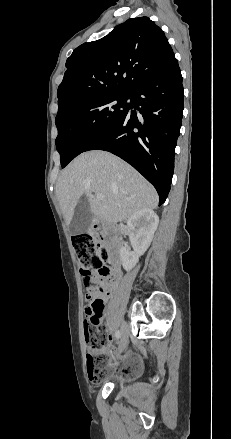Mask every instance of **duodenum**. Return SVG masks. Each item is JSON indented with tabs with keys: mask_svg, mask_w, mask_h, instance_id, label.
I'll return each instance as SVG.
<instances>
[{
	"mask_svg": "<svg viewBox=\"0 0 231 439\" xmlns=\"http://www.w3.org/2000/svg\"><path fill=\"white\" fill-rule=\"evenodd\" d=\"M91 231L92 232H94V233H98L100 230H101V228H100V225H99V223H94L92 226H91ZM120 231H121V228L119 227V226H115L114 228H113V230H112V232L114 233V234H117V233H120ZM116 267V266H115Z\"/></svg>",
	"mask_w": 231,
	"mask_h": 439,
	"instance_id": "1",
	"label": "duodenum"
}]
</instances>
